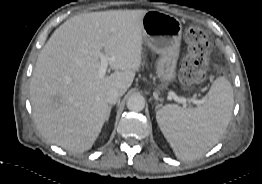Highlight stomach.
<instances>
[{
    "label": "stomach",
    "instance_id": "stomach-1",
    "mask_svg": "<svg viewBox=\"0 0 262 184\" xmlns=\"http://www.w3.org/2000/svg\"><path fill=\"white\" fill-rule=\"evenodd\" d=\"M144 42L160 55L156 74L164 86L176 78V65L182 35V24L168 13L149 10L142 18Z\"/></svg>",
    "mask_w": 262,
    "mask_h": 184
}]
</instances>
